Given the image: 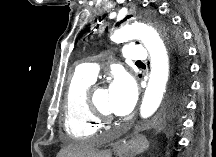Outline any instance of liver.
I'll list each match as a JSON object with an SVG mask.
<instances>
[{
  "label": "liver",
  "mask_w": 216,
  "mask_h": 157,
  "mask_svg": "<svg viewBox=\"0 0 216 157\" xmlns=\"http://www.w3.org/2000/svg\"><path fill=\"white\" fill-rule=\"evenodd\" d=\"M110 151H97L85 142L72 143L62 149L57 157H110Z\"/></svg>",
  "instance_id": "liver-1"
}]
</instances>
